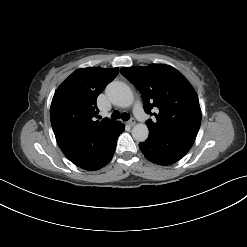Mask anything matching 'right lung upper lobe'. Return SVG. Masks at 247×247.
<instances>
[{
	"instance_id": "cb5924a9",
	"label": "right lung upper lobe",
	"mask_w": 247,
	"mask_h": 247,
	"mask_svg": "<svg viewBox=\"0 0 247 247\" xmlns=\"http://www.w3.org/2000/svg\"><path fill=\"white\" fill-rule=\"evenodd\" d=\"M118 72L119 68H80L56 90L50 107L51 125L60 149L71 162L84 157L92 140L117 123L107 118L96 120V100Z\"/></svg>"
}]
</instances>
